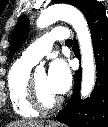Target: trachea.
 <instances>
[{
    "instance_id": "obj_1",
    "label": "trachea",
    "mask_w": 108,
    "mask_h": 127,
    "mask_svg": "<svg viewBox=\"0 0 108 127\" xmlns=\"http://www.w3.org/2000/svg\"><path fill=\"white\" fill-rule=\"evenodd\" d=\"M73 41L71 39H68L65 41L66 44H71Z\"/></svg>"
}]
</instances>
